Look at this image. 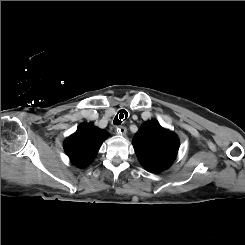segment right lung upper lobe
<instances>
[{
  "label": "right lung upper lobe",
  "mask_w": 245,
  "mask_h": 245,
  "mask_svg": "<svg viewBox=\"0 0 245 245\" xmlns=\"http://www.w3.org/2000/svg\"><path fill=\"white\" fill-rule=\"evenodd\" d=\"M107 137L105 130L95 127L92 123H82L76 132L65 140L64 150L77 167L83 168L94 160Z\"/></svg>",
  "instance_id": "cb5924a9"
}]
</instances>
